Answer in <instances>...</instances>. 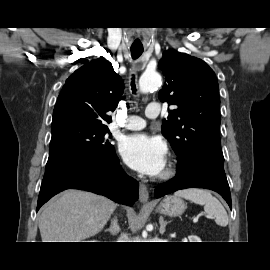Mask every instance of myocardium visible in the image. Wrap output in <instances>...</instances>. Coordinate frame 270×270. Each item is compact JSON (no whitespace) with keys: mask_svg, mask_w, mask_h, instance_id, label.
<instances>
[{"mask_svg":"<svg viewBox=\"0 0 270 270\" xmlns=\"http://www.w3.org/2000/svg\"><path fill=\"white\" fill-rule=\"evenodd\" d=\"M173 174H174L173 164L169 163L168 166L166 167V169L160 175V179H162V180L169 179L170 177L173 176Z\"/></svg>","mask_w":270,"mask_h":270,"instance_id":"myocardium-1","label":"myocardium"}]
</instances>
